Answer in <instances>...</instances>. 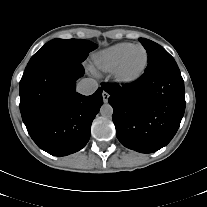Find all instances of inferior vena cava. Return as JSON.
<instances>
[{
	"instance_id": "inferior-vena-cava-1",
	"label": "inferior vena cava",
	"mask_w": 207,
	"mask_h": 207,
	"mask_svg": "<svg viewBox=\"0 0 207 207\" xmlns=\"http://www.w3.org/2000/svg\"><path fill=\"white\" fill-rule=\"evenodd\" d=\"M98 88V83L91 78H85L79 81L77 84V92L82 95H91L93 94Z\"/></svg>"
}]
</instances>
